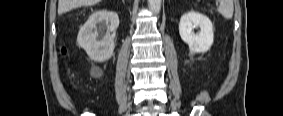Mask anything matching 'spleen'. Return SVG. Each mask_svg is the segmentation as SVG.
<instances>
[{
  "instance_id": "spleen-1",
  "label": "spleen",
  "mask_w": 283,
  "mask_h": 116,
  "mask_svg": "<svg viewBox=\"0 0 283 116\" xmlns=\"http://www.w3.org/2000/svg\"><path fill=\"white\" fill-rule=\"evenodd\" d=\"M217 11L225 18L231 19L234 12L233 0H221L217 7Z\"/></svg>"
}]
</instances>
